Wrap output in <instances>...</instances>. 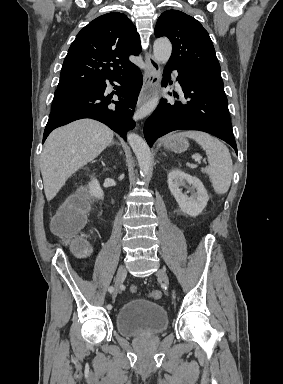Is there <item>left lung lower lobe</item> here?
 Wrapping results in <instances>:
<instances>
[{
    "mask_svg": "<svg viewBox=\"0 0 283 384\" xmlns=\"http://www.w3.org/2000/svg\"><path fill=\"white\" fill-rule=\"evenodd\" d=\"M171 70L174 68L165 67V81L170 79ZM178 73L177 80L187 103L160 101L144 125L148 144L152 146L158 137L174 130H199L224 140L237 153L223 82Z\"/></svg>",
    "mask_w": 283,
    "mask_h": 384,
    "instance_id": "left-lung-lower-lobe-1",
    "label": "left lung lower lobe"
}]
</instances>
